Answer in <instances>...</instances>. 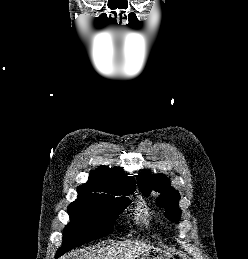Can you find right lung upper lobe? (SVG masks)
I'll return each instance as SVG.
<instances>
[{
    "mask_svg": "<svg viewBox=\"0 0 248 259\" xmlns=\"http://www.w3.org/2000/svg\"><path fill=\"white\" fill-rule=\"evenodd\" d=\"M127 175L117 169L100 166L91 171L87 183L79 186L77 191L86 195H117L122 191L135 190L133 176Z\"/></svg>",
    "mask_w": 248,
    "mask_h": 259,
    "instance_id": "right-lung-upper-lobe-1",
    "label": "right lung upper lobe"
}]
</instances>
